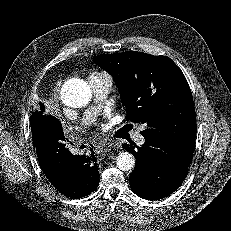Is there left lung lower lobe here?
<instances>
[{
    "mask_svg": "<svg viewBox=\"0 0 231 231\" xmlns=\"http://www.w3.org/2000/svg\"><path fill=\"white\" fill-rule=\"evenodd\" d=\"M136 158L130 185L135 194L147 200L162 199L177 190L185 180L195 143L171 146L156 138H145L142 147L123 145Z\"/></svg>",
    "mask_w": 231,
    "mask_h": 231,
    "instance_id": "left-lung-lower-lobe-1",
    "label": "left lung lower lobe"
}]
</instances>
